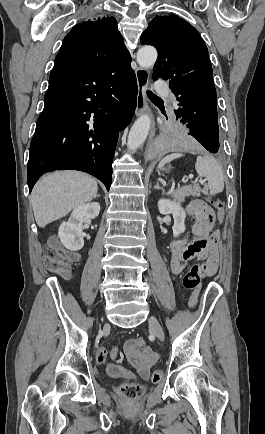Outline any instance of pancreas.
Listing matches in <instances>:
<instances>
[{"label":"pancreas","mask_w":265,"mask_h":434,"mask_svg":"<svg viewBox=\"0 0 265 434\" xmlns=\"http://www.w3.org/2000/svg\"><path fill=\"white\" fill-rule=\"evenodd\" d=\"M200 186L198 184H194V186H183V188H177L175 192H172V198H174L175 202H184V198L186 196H194V198H199L200 196Z\"/></svg>","instance_id":"cf45deb5"}]
</instances>
